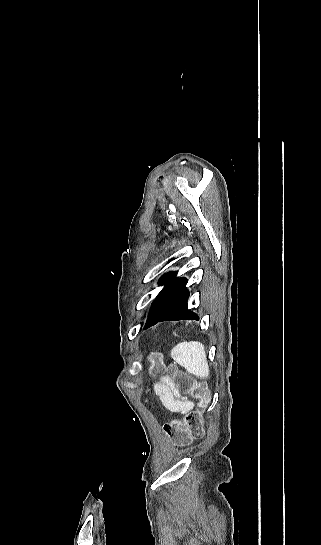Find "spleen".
Segmentation results:
<instances>
[{
  "label": "spleen",
  "mask_w": 321,
  "mask_h": 545,
  "mask_svg": "<svg viewBox=\"0 0 321 545\" xmlns=\"http://www.w3.org/2000/svg\"><path fill=\"white\" fill-rule=\"evenodd\" d=\"M171 359L199 379H206L210 375L205 347L198 341L179 343L172 349Z\"/></svg>",
  "instance_id": "3e777b00"
}]
</instances>
